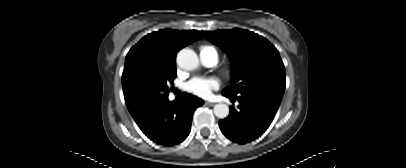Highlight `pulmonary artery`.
Here are the masks:
<instances>
[{
  "label": "pulmonary artery",
  "mask_w": 406,
  "mask_h": 168,
  "mask_svg": "<svg viewBox=\"0 0 406 168\" xmlns=\"http://www.w3.org/2000/svg\"><path fill=\"white\" fill-rule=\"evenodd\" d=\"M201 61L204 65L212 67L217 63V55L214 52L200 53Z\"/></svg>",
  "instance_id": "e3ab8cb5"
}]
</instances>
